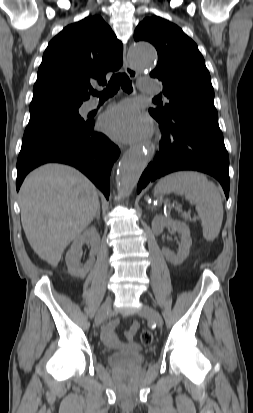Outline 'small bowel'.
Returning <instances> with one entry per match:
<instances>
[{"label":"small bowel","mask_w":253,"mask_h":413,"mask_svg":"<svg viewBox=\"0 0 253 413\" xmlns=\"http://www.w3.org/2000/svg\"><path fill=\"white\" fill-rule=\"evenodd\" d=\"M117 322H112L108 326L104 327L101 330V339L102 341L110 348L114 349H121L125 346V344L118 338L115 333V328L117 326ZM138 330V323L133 322L128 330L125 332L124 337L126 343L130 346H134V337Z\"/></svg>","instance_id":"obj_1"}]
</instances>
